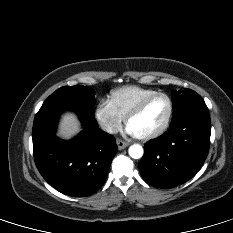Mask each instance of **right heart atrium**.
Returning <instances> with one entry per match:
<instances>
[{"instance_id":"right-heart-atrium-1","label":"right heart atrium","mask_w":233,"mask_h":233,"mask_svg":"<svg viewBox=\"0 0 233 233\" xmlns=\"http://www.w3.org/2000/svg\"><path fill=\"white\" fill-rule=\"evenodd\" d=\"M95 117L102 129L115 134L121 128L123 118L115 111L109 101H101L95 109Z\"/></svg>"}]
</instances>
